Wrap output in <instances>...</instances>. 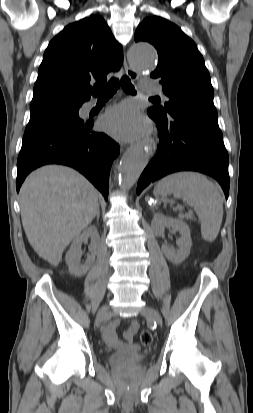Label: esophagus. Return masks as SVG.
<instances>
[{
	"mask_svg": "<svg viewBox=\"0 0 253 413\" xmlns=\"http://www.w3.org/2000/svg\"><path fill=\"white\" fill-rule=\"evenodd\" d=\"M124 68H125L126 74L130 77L131 80L136 81V80L139 78L138 72H137L136 70L132 69V68L128 65V63L126 62V60H125V62H124ZM147 146H148V148H149L150 155H152L153 152H154V150H155V144H154V142H153L152 140H149L148 143H147Z\"/></svg>",
	"mask_w": 253,
	"mask_h": 413,
	"instance_id": "1",
	"label": "esophagus"
}]
</instances>
